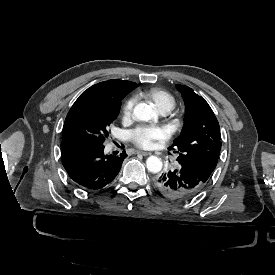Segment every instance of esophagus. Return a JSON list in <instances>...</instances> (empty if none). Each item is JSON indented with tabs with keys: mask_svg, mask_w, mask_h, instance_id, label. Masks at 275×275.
Wrapping results in <instances>:
<instances>
[{
	"mask_svg": "<svg viewBox=\"0 0 275 275\" xmlns=\"http://www.w3.org/2000/svg\"><path fill=\"white\" fill-rule=\"evenodd\" d=\"M136 153H137V154H141V155H143V156H147V155L150 154L149 152L141 151V150L136 151Z\"/></svg>",
	"mask_w": 275,
	"mask_h": 275,
	"instance_id": "34e87169",
	"label": "esophagus"
}]
</instances>
